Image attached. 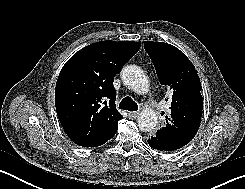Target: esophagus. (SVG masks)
<instances>
[{"label": "esophagus", "instance_id": "obj_1", "mask_svg": "<svg viewBox=\"0 0 245 189\" xmlns=\"http://www.w3.org/2000/svg\"><path fill=\"white\" fill-rule=\"evenodd\" d=\"M131 118H136L139 115V111H133L128 113Z\"/></svg>", "mask_w": 245, "mask_h": 189}]
</instances>
